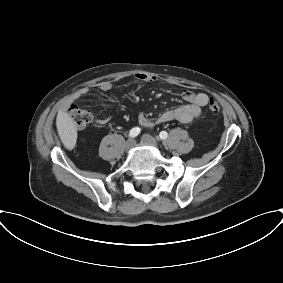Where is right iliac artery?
<instances>
[{
    "label": "right iliac artery",
    "mask_w": 283,
    "mask_h": 283,
    "mask_svg": "<svg viewBox=\"0 0 283 283\" xmlns=\"http://www.w3.org/2000/svg\"><path fill=\"white\" fill-rule=\"evenodd\" d=\"M141 129L139 127H134L129 132V137L135 138L140 134Z\"/></svg>",
    "instance_id": "1"
}]
</instances>
